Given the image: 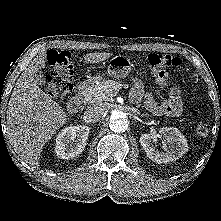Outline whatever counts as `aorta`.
<instances>
[{
	"label": "aorta",
	"instance_id": "aorta-1",
	"mask_svg": "<svg viewBox=\"0 0 221 221\" xmlns=\"http://www.w3.org/2000/svg\"><path fill=\"white\" fill-rule=\"evenodd\" d=\"M129 120L123 112L115 111L109 122L110 130L114 133H122L128 129Z\"/></svg>",
	"mask_w": 221,
	"mask_h": 221
}]
</instances>
